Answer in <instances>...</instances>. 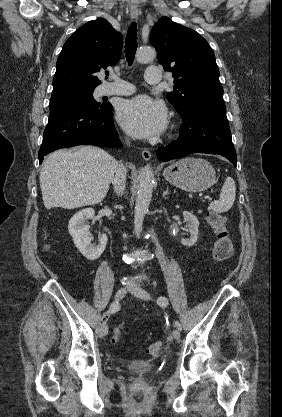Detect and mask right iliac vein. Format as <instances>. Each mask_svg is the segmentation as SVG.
<instances>
[{"mask_svg":"<svg viewBox=\"0 0 282 417\" xmlns=\"http://www.w3.org/2000/svg\"><path fill=\"white\" fill-rule=\"evenodd\" d=\"M130 289V287H122L117 290L115 294V300L119 301L121 300L127 293V291ZM108 333V327L106 325H103L100 329V335L105 336Z\"/></svg>","mask_w":282,"mask_h":417,"instance_id":"obj_1","label":"right iliac vein"}]
</instances>
